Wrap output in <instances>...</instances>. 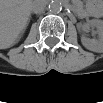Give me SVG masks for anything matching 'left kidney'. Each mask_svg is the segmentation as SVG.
I'll list each match as a JSON object with an SVG mask.
<instances>
[{"instance_id":"left-kidney-1","label":"left kidney","mask_w":103,"mask_h":103,"mask_svg":"<svg viewBox=\"0 0 103 103\" xmlns=\"http://www.w3.org/2000/svg\"><path fill=\"white\" fill-rule=\"evenodd\" d=\"M88 26L95 27L98 31V39H89L82 36V45L90 51L101 52L103 50V22L102 20L92 19L88 22Z\"/></svg>"}]
</instances>
